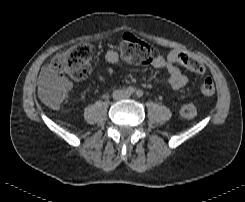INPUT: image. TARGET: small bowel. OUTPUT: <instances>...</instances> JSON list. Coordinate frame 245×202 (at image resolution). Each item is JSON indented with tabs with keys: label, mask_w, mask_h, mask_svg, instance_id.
Returning a JSON list of instances; mask_svg holds the SVG:
<instances>
[{
	"label": "small bowel",
	"mask_w": 245,
	"mask_h": 202,
	"mask_svg": "<svg viewBox=\"0 0 245 202\" xmlns=\"http://www.w3.org/2000/svg\"><path fill=\"white\" fill-rule=\"evenodd\" d=\"M177 53V50H171L167 55L158 54L157 58L151 62L154 68L167 71L169 84L174 90L182 89L188 82L186 75L176 66ZM104 59L109 64H116L119 62L120 56L116 50L109 49L105 52ZM52 86H60L67 94H70L73 89L71 81L66 78L55 77L50 69L45 66L42 71V80L40 81L39 89L43 91Z\"/></svg>",
	"instance_id": "1"
}]
</instances>
